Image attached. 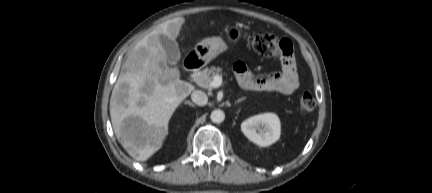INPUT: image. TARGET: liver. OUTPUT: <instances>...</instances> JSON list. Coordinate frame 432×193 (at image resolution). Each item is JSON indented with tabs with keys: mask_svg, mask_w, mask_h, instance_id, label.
I'll return each mask as SVG.
<instances>
[{
	"mask_svg": "<svg viewBox=\"0 0 432 193\" xmlns=\"http://www.w3.org/2000/svg\"><path fill=\"white\" fill-rule=\"evenodd\" d=\"M185 19L176 17L159 24L144 36L122 66L110 98L114 133L128 154L137 161L148 160L168 135V124L176 108L194 90L180 80V72L167 66V54L159 40L163 34L176 39ZM136 124L125 131V120Z\"/></svg>",
	"mask_w": 432,
	"mask_h": 193,
	"instance_id": "obj_1",
	"label": "liver"
}]
</instances>
